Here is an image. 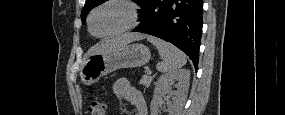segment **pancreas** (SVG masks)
Instances as JSON below:
<instances>
[{"label": "pancreas", "mask_w": 285, "mask_h": 115, "mask_svg": "<svg viewBox=\"0 0 285 115\" xmlns=\"http://www.w3.org/2000/svg\"><path fill=\"white\" fill-rule=\"evenodd\" d=\"M153 80V76L144 75L140 80V84L144 85L145 87H149Z\"/></svg>", "instance_id": "cf45deb5"}]
</instances>
